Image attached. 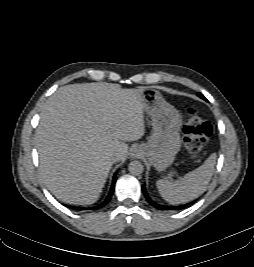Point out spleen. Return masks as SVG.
<instances>
[{
  "label": "spleen",
  "mask_w": 254,
  "mask_h": 267,
  "mask_svg": "<svg viewBox=\"0 0 254 267\" xmlns=\"http://www.w3.org/2000/svg\"><path fill=\"white\" fill-rule=\"evenodd\" d=\"M216 158L215 153L211 154L203 165L175 181L159 179L156 184L160 195L173 205L194 200L206 190L214 173Z\"/></svg>",
  "instance_id": "1"
}]
</instances>
